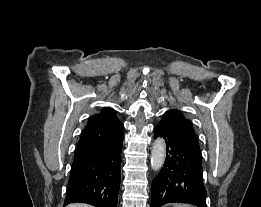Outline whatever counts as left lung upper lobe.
Returning <instances> with one entry per match:
<instances>
[{
  "label": "left lung upper lobe",
  "instance_id": "5c2ea615",
  "mask_svg": "<svg viewBox=\"0 0 261 207\" xmlns=\"http://www.w3.org/2000/svg\"><path fill=\"white\" fill-rule=\"evenodd\" d=\"M169 124L179 135L180 139L199 157H202L197 136L190 120L186 119L181 111L170 110L165 112L161 120Z\"/></svg>",
  "mask_w": 261,
  "mask_h": 207
}]
</instances>
